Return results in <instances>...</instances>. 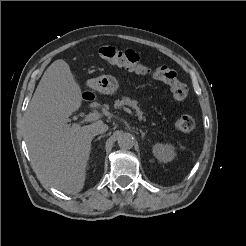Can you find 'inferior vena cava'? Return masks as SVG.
<instances>
[{"mask_svg": "<svg viewBox=\"0 0 246 246\" xmlns=\"http://www.w3.org/2000/svg\"><path fill=\"white\" fill-rule=\"evenodd\" d=\"M107 130H108V125L104 124L101 121H98V122L92 124L91 135L95 136V135L104 133Z\"/></svg>", "mask_w": 246, "mask_h": 246, "instance_id": "1", "label": "inferior vena cava"}]
</instances>
